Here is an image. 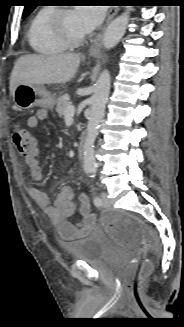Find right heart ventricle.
Returning a JSON list of instances; mask_svg holds the SVG:
<instances>
[{
  "instance_id": "e07e8e85",
  "label": "right heart ventricle",
  "mask_w": 184,
  "mask_h": 327,
  "mask_svg": "<svg viewBox=\"0 0 184 327\" xmlns=\"http://www.w3.org/2000/svg\"><path fill=\"white\" fill-rule=\"evenodd\" d=\"M54 10L53 7H44L38 10L30 21L27 38L29 45L37 53L56 55L68 49L51 31L49 22Z\"/></svg>"
}]
</instances>
